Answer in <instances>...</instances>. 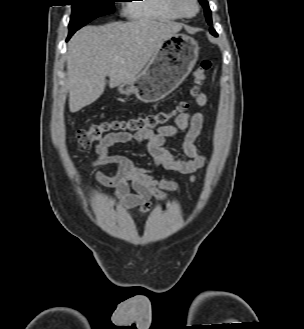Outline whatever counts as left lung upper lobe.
Listing matches in <instances>:
<instances>
[{
	"mask_svg": "<svg viewBox=\"0 0 304 329\" xmlns=\"http://www.w3.org/2000/svg\"><path fill=\"white\" fill-rule=\"evenodd\" d=\"M199 2L204 7L205 16H206V19L208 21V24H211L212 23V20H211V10L209 8V5H208L207 0H199ZM213 30H214L213 28H210V32L213 31Z\"/></svg>",
	"mask_w": 304,
	"mask_h": 329,
	"instance_id": "5c2ea615",
	"label": "left lung upper lobe"
}]
</instances>
